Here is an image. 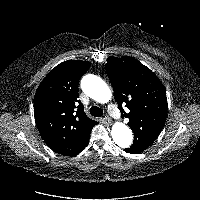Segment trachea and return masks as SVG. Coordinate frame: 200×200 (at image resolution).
I'll use <instances>...</instances> for the list:
<instances>
[{
  "mask_svg": "<svg viewBox=\"0 0 200 200\" xmlns=\"http://www.w3.org/2000/svg\"><path fill=\"white\" fill-rule=\"evenodd\" d=\"M90 114L94 117H101L103 115V111L97 106H92L90 108Z\"/></svg>",
  "mask_w": 200,
  "mask_h": 200,
  "instance_id": "3493384b",
  "label": "trachea"
}]
</instances>
